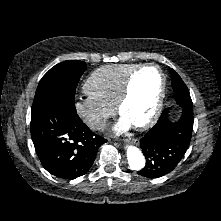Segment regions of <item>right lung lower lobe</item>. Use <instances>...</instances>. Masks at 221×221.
Here are the masks:
<instances>
[{
	"instance_id": "right-lung-lower-lobe-1",
	"label": "right lung lower lobe",
	"mask_w": 221,
	"mask_h": 221,
	"mask_svg": "<svg viewBox=\"0 0 221 221\" xmlns=\"http://www.w3.org/2000/svg\"><path fill=\"white\" fill-rule=\"evenodd\" d=\"M31 137L43 167L67 180L84 175L107 141L82 122L69 99L56 100L31 114Z\"/></svg>"
}]
</instances>
